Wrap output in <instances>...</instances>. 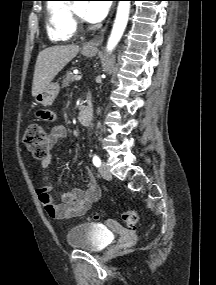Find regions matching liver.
<instances>
[{
	"label": "liver",
	"mask_w": 216,
	"mask_h": 285,
	"mask_svg": "<svg viewBox=\"0 0 216 285\" xmlns=\"http://www.w3.org/2000/svg\"><path fill=\"white\" fill-rule=\"evenodd\" d=\"M78 45H58L44 49L38 54L32 84L35 97L79 52Z\"/></svg>",
	"instance_id": "obj_1"
}]
</instances>
